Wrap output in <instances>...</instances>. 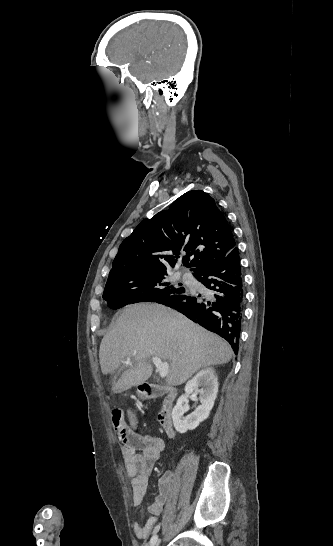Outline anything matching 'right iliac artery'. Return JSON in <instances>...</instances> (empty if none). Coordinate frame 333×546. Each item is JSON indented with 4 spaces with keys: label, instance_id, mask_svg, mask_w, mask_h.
<instances>
[{
    "label": "right iliac artery",
    "instance_id": "1",
    "mask_svg": "<svg viewBox=\"0 0 333 546\" xmlns=\"http://www.w3.org/2000/svg\"><path fill=\"white\" fill-rule=\"evenodd\" d=\"M157 541H158V536H157V535H153L152 538L150 539L149 546H155V544L157 543Z\"/></svg>",
    "mask_w": 333,
    "mask_h": 546
}]
</instances>
